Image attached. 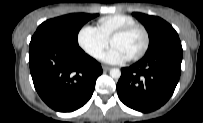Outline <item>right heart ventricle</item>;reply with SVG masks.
Listing matches in <instances>:
<instances>
[{
    "label": "right heart ventricle",
    "mask_w": 203,
    "mask_h": 123,
    "mask_svg": "<svg viewBox=\"0 0 203 123\" xmlns=\"http://www.w3.org/2000/svg\"><path fill=\"white\" fill-rule=\"evenodd\" d=\"M132 24H136V21L131 16L113 14L100 18L98 21V29L109 40L115 31Z\"/></svg>",
    "instance_id": "right-heart-ventricle-1"
}]
</instances>
